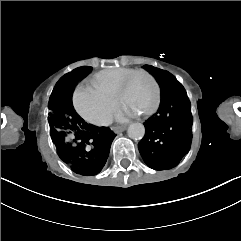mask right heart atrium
I'll return each instance as SVG.
<instances>
[{"instance_id": "d8ad5b80", "label": "right heart atrium", "mask_w": 241, "mask_h": 241, "mask_svg": "<svg viewBox=\"0 0 241 241\" xmlns=\"http://www.w3.org/2000/svg\"><path fill=\"white\" fill-rule=\"evenodd\" d=\"M81 86L82 84H79L75 88L72 96L77 112L91 124L98 126L107 124L115 109L111 92L102 93L94 84H89L88 87Z\"/></svg>"}]
</instances>
